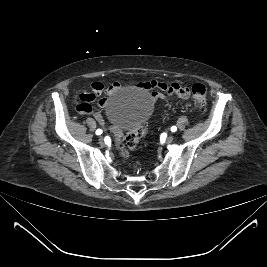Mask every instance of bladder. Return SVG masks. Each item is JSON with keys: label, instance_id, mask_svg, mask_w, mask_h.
I'll use <instances>...</instances> for the list:
<instances>
[{"label": "bladder", "instance_id": "31cf9c89", "mask_svg": "<svg viewBox=\"0 0 267 267\" xmlns=\"http://www.w3.org/2000/svg\"><path fill=\"white\" fill-rule=\"evenodd\" d=\"M105 113L112 126L124 131L143 125L151 116L152 106L143 92L124 88L110 96Z\"/></svg>", "mask_w": 267, "mask_h": 267}]
</instances>
